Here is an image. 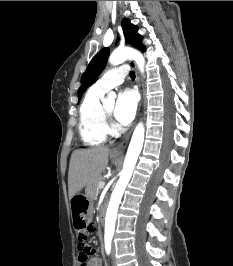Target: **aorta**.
<instances>
[{"label":"aorta","instance_id":"762f6f07","mask_svg":"<svg viewBox=\"0 0 233 266\" xmlns=\"http://www.w3.org/2000/svg\"><path fill=\"white\" fill-rule=\"evenodd\" d=\"M134 60L141 73L144 72L145 59L143 55L133 48H118L109 57V62L112 65H119L126 60ZM116 94L110 92L108 99L114 101ZM145 128L142 122L136 126L126 156L120 178L112 192L109 205L105 217V238L112 239L115 231V223L117 219V211L125 188L130 181L133 170L135 168L138 156L142 150L144 142Z\"/></svg>","mask_w":233,"mask_h":266}]
</instances>
